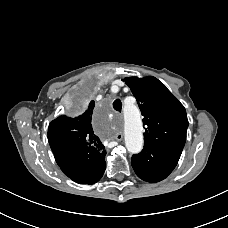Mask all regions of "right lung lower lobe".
Masks as SVG:
<instances>
[{
    "mask_svg": "<svg viewBox=\"0 0 228 228\" xmlns=\"http://www.w3.org/2000/svg\"><path fill=\"white\" fill-rule=\"evenodd\" d=\"M106 151L77 147L66 152L54 153L61 170L76 183L93 184L102 177Z\"/></svg>",
    "mask_w": 228,
    "mask_h": 228,
    "instance_id": "obj_1",
    "label": "right lung lower lobe"
}]
</instances>
